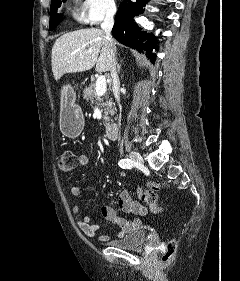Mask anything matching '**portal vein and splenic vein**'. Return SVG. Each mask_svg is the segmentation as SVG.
I'll list each match as a JSON object with an SVG mask.
<instances>
[{"label":"portal vein and splenic vein","instance_id":"18ae733b","mask_svg":"<svg viewBox=\"0 0 240 281\" xmlns=\"http://www.w3.org/2000/svg\"><path fill=\"white\" fill-rule=\"evenodd\" d=\"M107 90L106 78L105 76H99L96 81V94L98 96H103Z\"/></svg>","mask_w":240,"mask_h":281}]
</instances>
